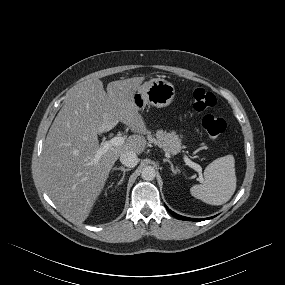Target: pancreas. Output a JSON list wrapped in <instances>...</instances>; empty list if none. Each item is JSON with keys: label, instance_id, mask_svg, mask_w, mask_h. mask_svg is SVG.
<instances>
[{"label": "pancreas", "instance_id": "1", "mask_svg": "<svg viewBox=\"0 0 285 285\" xmlns=\"http://www.w3.org/2000/svg\"><path fill=\"white\" fill-rule=\"evenodd\" d=\"M147 138L149 142L154 143L165 152L171 153L172 155L177 154L182 148H184V146H182L181 139L175 134V132L167 133L159 130L155 134V137L148 133Z\"/></svg>", "mask_w": 285, "mask_h": 285}]
</instances>
